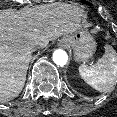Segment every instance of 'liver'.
Masks as SVG:
<instances>
[{"instance_id":"1","label":"liver","mask_w":117,"mask_h":117,"mask_svg":"<svg viewBox=\"0 0 117 117\" xmlns=\"http://www.w3.org/2000/svg\"><path fill=\"white\" fill-rule=\"evenodd\" d=\"M83 18L78 5L61 2L0 11V103L22 91L32 52L77 32Z\"/></svg>"}]
</instances>
